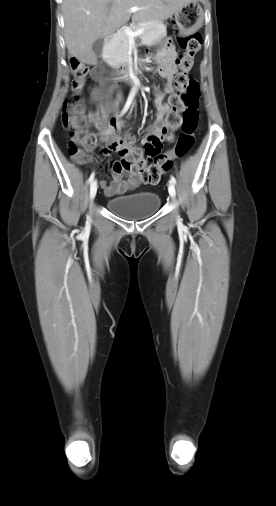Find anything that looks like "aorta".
Listing matches in <instances>:
<instances>
[{"label": "aorta", "mask_w": 276, "mask_h": 506, "mask_svg": "<svg viewBox=\"0 0 276 506\" xmlns=\"http://www.w3.org/2000/svg\"><path fill=\"white\" fill-rule=\"evenodd\" d=\"M137 91V87L134 86L133 89H132V93H135Z\"/></svg>", "instance_id": "1"}]
</instances>
